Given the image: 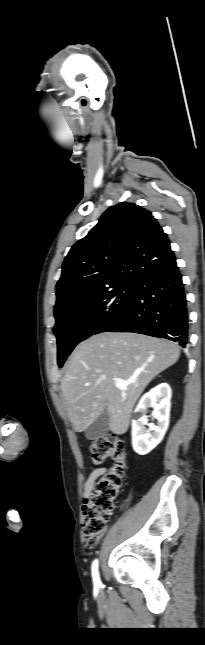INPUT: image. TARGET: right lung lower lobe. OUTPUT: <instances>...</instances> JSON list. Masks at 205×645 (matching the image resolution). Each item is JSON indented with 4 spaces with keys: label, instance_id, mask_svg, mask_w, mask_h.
<instances>
[{
    "label": "right lung lower lobe",
    "instance_id": "right-lung-lower-lobe-1",
    "mask_svg": "<svg viewBox=\"0 0 205 645\" xmlns=\"http://www.w3.org/2000/svg\"><path fill=\"white\" fill-rule=\"evenodd\" d=\"M187 301L176 259L159 265L134 284L132 303L103 332H134L189 342Z\"/></svg>",
    "mask_w": 205,
    "mask_h": 645
}]
</instances>
